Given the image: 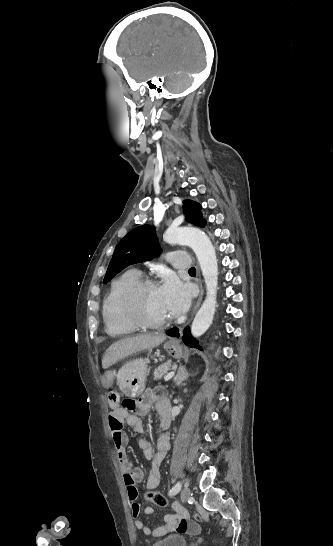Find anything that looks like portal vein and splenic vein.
<instances>
[{
    "mask_svg": "<svg viewBox=\"0 0 333 546\" xmlns=\"http://www.w3.org/2000/svg\"><path fill=\"white\" fill-rule=\"evenodd\" d=\"M175 374V371H171L170 373H168L166 376H165V381H168L170 380Z\"/></svg>",
    "mask_w": 333,
    "mask_h": 546,
    "instance_id": "obj_1",
    "label": "portal vein and splenic vein"
}]
</instances>
